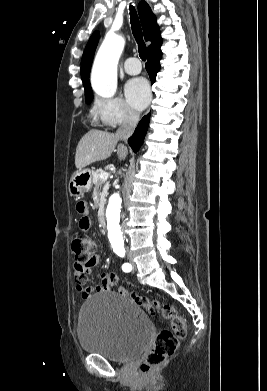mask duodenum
I'll list each match as a JSON object with an SVG mask.
<instances>
[{
    "label": "duodenum",
    "mask_w": 267,
    "mask_h": 391,
    "mask_svg": "<svg viewBox=\"0 0 267 391\" xmlns=\"http://www.w3.org/2000/svg\"><path fill=\"white\" fill-rule=\"evenodd\" d=\"M99 225L102 229H106V219H105V216H104V212L103 211H100L99 212Z\"/></svg>",
    "instance_id": "duodenum-1"
}]
</instances>
